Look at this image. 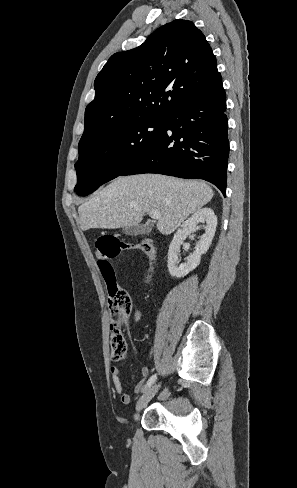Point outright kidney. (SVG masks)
I'll return each mask as SVG.
<instances>
[{
	"label": "right kidney",
	"mask_w": 297,
	"mask_h": 488,
	"mask_svg": "<svg viewBox=\"0 0 297 488\" xmlns=\"http://www.w3.org/2000/svg\"><path fill=\"white\" fill-rule=\"evenodd\" d=\"M199 222H206L205 233L200 237V240L196 245V250L186 258L187 261L177 266L180 245L190 233L196 230V226ZM216 226L217 217L214 214V211L207 207L197 210L181 225L175 233L168 251L167 267L171 276L176 278L184 277L200 264L201 256L210 248L216 231Z\"/></svg>",
	"instance_id": "1"
}]
</instances>
